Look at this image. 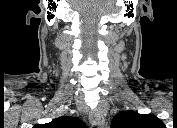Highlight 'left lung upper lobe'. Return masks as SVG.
Segmentation results:
<instances>
[{
  "label": "left lung upper lobe",
  "mask_w": 177,
  "mask_h": 128,
  "mask_svg": "<svg viewBox=\"0 0 177 128\" xmlns=\"http://www.w3.org/2000/svg\"><path fill=\"white\" fill-rule=\"evenodd\" d=\"M163 122L153 114H139L134 111H123L116 114L111 128H162Z\"/></svg>",
  "instance_id": "1"
}]
</instances>
